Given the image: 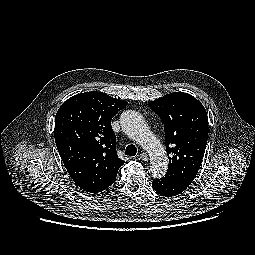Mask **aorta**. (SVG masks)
<instances>
[{
	"label": "aorta",
	"mask_w": 255,
	"mask_h": 255,
	"mask_svg": "<svg viewBox=\"0 0 255 255\" xmlns=\"http://www.w3.org/2000/svg\"><path fill=\"white\" fill-rule=\"evenodd\" d=\"M120 123L123 132L140 144L150 155V171L153 177L164 176L168 168V158L162 144L147 126L144 117L134 110H126L121 114Z\"/></svg>",
	"instance_id": "aorta-1"
}]
</instances>
